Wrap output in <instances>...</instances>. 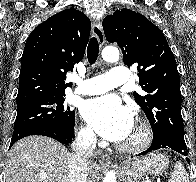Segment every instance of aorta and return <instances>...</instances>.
Here are the masks:
<instances>
[{
    "label": "aorta",
    "instance_id": "aorta-1",
    "mask_svg": "<svg viewBox=\"0 0 196 182\" xmlns=\"http://www.w3.org/2000/svg\"><path fill=\"white\" fill-rule=\"evenodd\" d=\"M119 56V50L115 47H106L102 51V58L107 62L117 61ZM103 182H116V173L114 171H109L104 177Z\"/></svg>",
    "mask_w": 196,
    "mask_h": 182
}]
</instances>
